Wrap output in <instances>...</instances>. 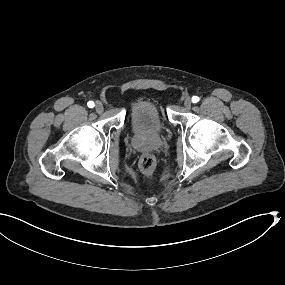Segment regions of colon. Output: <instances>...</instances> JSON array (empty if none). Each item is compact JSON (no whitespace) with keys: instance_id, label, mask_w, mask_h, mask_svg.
<instances>
[{"instance_id":"5ec220e1","label":"colon","mask_w":285,"mask_h":285,"mask_svg":"<svg viewBox=\"0 0 285 285\" xmlns=\"http://www.w3.org/2000/svg\"><path fill=\"white\" fill-rule=\"evenodd\" d=\"M155 167H156V159L153 155L145 154L140 158L139 168L145 176L151 177Z\"/></svg>"}]
</instances>
